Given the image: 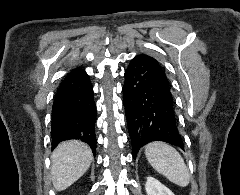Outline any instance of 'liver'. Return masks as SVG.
Listing matches in <instances>:
<instances>
[{
    "mask_svg": "<svg viewBox=\"0 0 240 195\" xmlns=\"http://www.w3.org/2000/svg\"><path fill=\"white\" fill-rule=\"evenodd\" d=\"M92 159L93 153L89 145L79 139L59 143L51 155V179L55 189L61 191L77 181L90 167Z\"/></svg>",
    "mask_w": 240,
    "mask_h": 195,
    "instance_id": "6515ba94",
    "label": "liver"
}]
</instances>
